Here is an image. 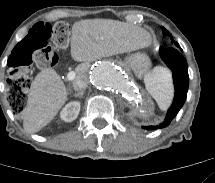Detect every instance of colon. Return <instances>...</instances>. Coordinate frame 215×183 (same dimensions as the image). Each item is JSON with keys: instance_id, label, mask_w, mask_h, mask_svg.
<instances>
[{"instance_id": "colon-1", "label": "colon", "mask_w": 215, "mask_h": 183, "mask_svg": "<svg viewBox=\"0 0 215 183\" xmlns=\"http://www.w3.org/2000/svg\"><path fill=\"white\" fill-rule=\"evenodd\" d=\"M68 36L69 28L66 23L58 22L51 25L45 21H38L27 37L12 47L5 59V64L10 71L7 97L15 112L24 111L27 105V92L31 80L26 70L33 64L40 68L56 65L58 55L55 49L49 45V41L65 43Z\"/></svg>"}]
</instances>
